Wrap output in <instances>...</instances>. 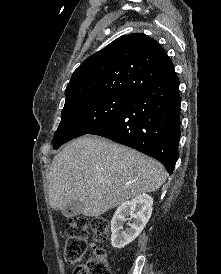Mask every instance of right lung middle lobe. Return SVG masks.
Returning a JSON list of instances; mask_svg holds the SVG:
<instances>
[{"mask_svg": "<svg viewBox=\"0 0 221 274\" xmlns=\"http://www.w3.org/2000/svg\"><path fill=\"white\" fill-rule=\"evenodd\" d=\"M131 98L125 95H103L65 103L53 145L58 148L73 138L99 128L115 116Z\"/></svg>", "mask_w": 221, "mask_h": 274, "instance_id": "obj_1", "label": "right lung middle lobe"}]
</instances>
